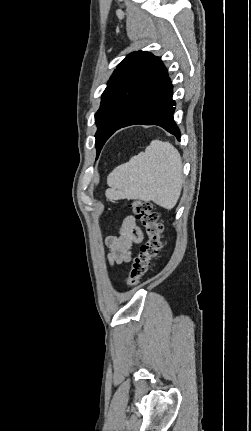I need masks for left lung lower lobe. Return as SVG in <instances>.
Listing matches in <instances>:
<instances>
[{
	"label": "left lung lower lobe",
	"instance_id": "0a47b994",
	"mask_svg": "<svg viewBox=\"0 0 251 431\" xmlns=\"http://www.w3.org/2000/svg\"><path fill=\"white\" fill-rule=\"evenodd\" d=\"M172 95L171 80L159 59L112 134L134 124L158 125L180 140V131L173 120Z\"/></svg>",
	"mask_w": 251,
	"mask_h": 431
}]
</instances>
